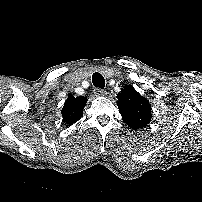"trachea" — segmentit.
<instances>
[{"mask_svg":"<svg viewBox=\"0 0 202 202\" xmlns=\"http://www.w3.org/2000/svg\"><path fill=\"white\" fill-rule=\"evenodd\" d=\"M92 82H93V85L95 87H99L101 89H103L105 87V79L104 77L98 73V72H95L93 75H92Z\"/></svg>","mask_w":202,"mask_h":202,"instance_id":"3493384b","label":"trachea"}]
</instances>
